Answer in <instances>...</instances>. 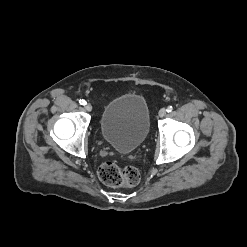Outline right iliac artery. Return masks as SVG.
Returning a JSON list of instances; mask_svg holds the SVG:
<instances>
[{"label": "right iliac artery", "mask_w": 247, "mask_h": 247, "mask_svg": "<svg viewBox=\"0 0 247 247\" xmlns=\"http://www.w3.org/2000/svg\"><path fill=\"white\" fill-rule=\"evenodd\" d=\"M79 103H80L81 105H85V104H86V101L83 100V99H80V100H79Z\"/></svg>", "instance_id": "1"}]
</instances>
